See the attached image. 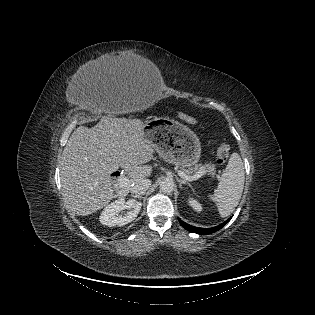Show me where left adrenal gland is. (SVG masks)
<instances>
[{"label":"left adrenal gland","instance_id":"1","mask_svg":"<svg viewBox=\"0 0 315 315\" xmlns=\"http://www.w3.org/2000/svg\"><path fill=\"white\" fill-rule=\"evenodd\" d=\"M177 181L179 182V186H180V187L182 186V184H186V185H188L191 189H193L192 186H191V184H190L189 182H187V181H185V180H182V179H179V178H177Z\"/></svg>","mask_w":315,"mask_h":315}]
</instances>
